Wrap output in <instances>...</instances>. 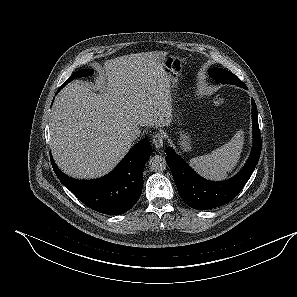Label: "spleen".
Listing matches in <instances>:
<instances>
[{
  "mask_svg": "<svg viewBox=\"0 0 297 297\" xmlns=\"http://www.w3.org/2000/svg\"><path fill=\"white\" fill-rule=\"evenodd\" d=\"M244 144L243 130L237 131L233 138L223 146L215 149L212 153L192 158L190 166L202 176L221 180L227 177L237 165Z\"/></svg>",
  "mask_w": 297,
  "mask_h": 297,
  "instance_id": "spleen-1",
  "label": "spleen"
}]
</instances>
